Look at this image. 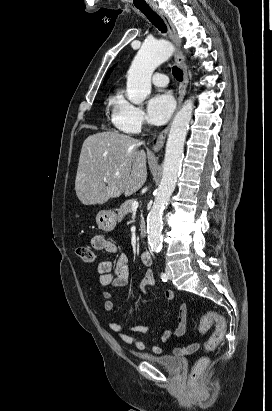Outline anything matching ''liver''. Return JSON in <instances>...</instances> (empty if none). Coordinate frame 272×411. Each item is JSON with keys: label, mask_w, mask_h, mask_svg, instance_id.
I'll return each instance as SVG.
<instances>
[{"label": "liver", "mask_w": 272, "mask_h": 411, "mask_svg": "<svg viewBox=\"0 0 272 411\" xmlns=\"http://www.w3.org/2000/svg\"><path fill=\"white\" fill-rule=\"evenodd\" d=\"M140 141L115 132L90 135L83 142L75 191L84 205L104 204L137 192L147 179V155ZM107 179L105 182L104 179Z\"/></svg>", "instance_id": "obj_1"}]
</instances>
